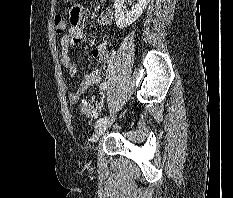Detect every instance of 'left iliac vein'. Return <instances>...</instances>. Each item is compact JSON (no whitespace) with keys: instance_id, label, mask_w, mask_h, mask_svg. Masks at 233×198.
<instances>
[{"instance_id":"1","label":"left iliac vein","mask_w":233,"mask_h":198,"mask_svg":"<svg viewBox=\"0 0 233 198\" xmlns=\"http://www.w3.org/2000/svg\"><path fill=\"white\" fill-rule=\"evenodd\" d=\"M113 122V119L107 120L96 127L95 133L93 135V142H97L99 138L102 136V134L106 131V129L110 126V124Z\"/></svg>"}]
</instances>
